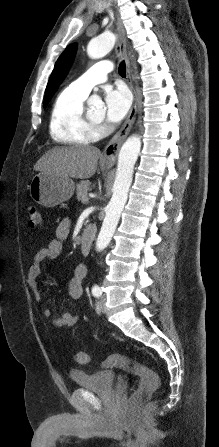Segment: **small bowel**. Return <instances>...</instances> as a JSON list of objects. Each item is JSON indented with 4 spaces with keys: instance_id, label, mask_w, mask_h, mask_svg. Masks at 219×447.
<instances>
[{
    "instance_id": "1",
    "label": "small bowel",
    "mask_w": 219,
    "mask_h": 447,
    "mask_svg": "<svg viewBox=\"0 0 219 447\" xmlns=\"http://www.w3.org/2000/svg\"><path fill=\"white\" fill-rule=\"evenodd\" d=\"M71 229V221L69 218L62 219L56 228L55 237L50 239L44 248L38 250L33 257V264L27 275V284L37 301H41L42 293L39 288V276L41 274V263L45 260H54L62 252L63 241L68 237ZM87 275V267L85 264H78L72 277L67 281L69 296L73 300H79L83 293V281ZM42 316L49 318L51 311L49 308L42 309ZM79 320V315L64 312L53 320L56 327H71Z\"/></svg>"
}]
</instances>
